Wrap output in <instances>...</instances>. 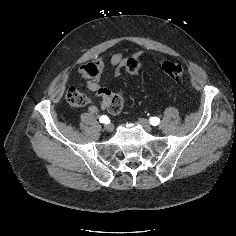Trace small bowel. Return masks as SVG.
I'll return each mask as SVG.
<instances>
[{"mask_svg": "<svg viewBox=\"0 0 236 236\" xmlns=\"http://www.w3.org/2000/svg\"><path fill=\"white\" fill-rule=\"evenodd\" d=\"M127 57L122 53H113L110 57L109 63L114 69L115 77L120 76L122 69L126 65ZM104 70V63L101 58H96L90 63L83 64L79 68V74L87 79V88L94 94L95 97L101 100L100 108L106 109L113 93L110 89L103 87L100 83V78ZM99 108L96 105H90L88 112L92 115L97 114Z\"/></svg>", "mask_w": 236, "mask_h": 236, "instance_id": "small-bowel-1", "label": "small bowel"}]
</instances>
